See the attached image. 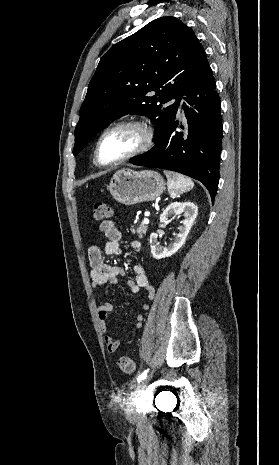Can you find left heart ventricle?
<instances>
[{"instance_id":"obj_1","label":"left heart ventricle","mask_w":279,"mask_h":465,"mask_svg":"<svg viewBox=\"0 0 279 465\" xmlns=\"http://www.w3.org/2000/svg\"><path fill=\"white\" fill-rule=\"evenodd\" d=\"M142 139L141 130L135 127H123L108 133L100 145L101 161L108 163L122 158L137 149Z\"/></svg>"}]
</instances>
